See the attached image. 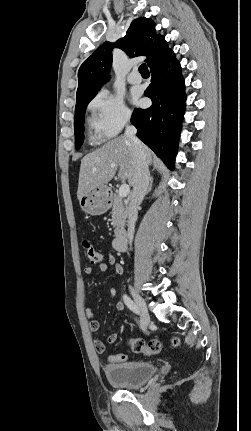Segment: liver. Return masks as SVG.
<instances>
[{"label":"liver","instance_id":"6515ba94","mask_svg":"<svg viewBox=\"0 0 251 431\" xmlns=\"http://www.w3.org/2000/svg\"><path fill=\"white\" fill-rule=\"evenodd\" d=\"M142 145L147 163L151 164L154 158L153 153L146 145ZM118 167V178L122 181L128 180V183L133 186L134 150L132 142L125 136L108 141L82 158L77 190L78 199L80 200L92 188L105 186L115 176Z\"/></svg>","mask_w":251,"mask_h":431}]
</instances>
